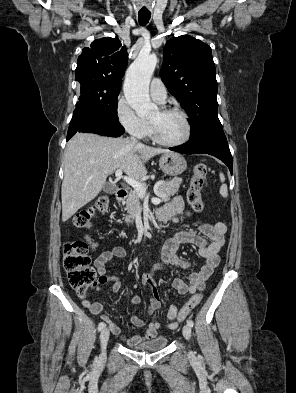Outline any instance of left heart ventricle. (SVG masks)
<instances>
[{
  "label": "left heart ventricle",
  "mask_w": 296,
  "mask_h": 393,
  "mask_svg": "<svg viewBox=\"0 0 296 393\" xmlns=\"http://www.w3.org/2000/svg\"><path fill=\"white\" fill-rule=\"evenodd\" d=\"M157 128L161 139L174 142L180 140L185 134V123L181 115L177 113L164 114L160 110L154 113L150 119Z\"/></svg>",
  "instance_id": "left-heart-ventricle-1"
}]
</instances>
